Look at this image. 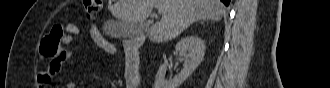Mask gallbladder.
<instances>
[{"label":"gallbladder","mask_w":330,"mask_h":88,"mask_svg":"<svg viewBox=\"0 0 330 88\" xmlns=\"http://www.w3.org/2000/svg\"><path fill=\"white\" fill-rule=\"evenodd\" d=\"M140 24H131L127 22L114 21L105 26V33L112 38H131L141 33Z\"/></svg>","instance_id":"gallbladder-1"}]
</instances>
